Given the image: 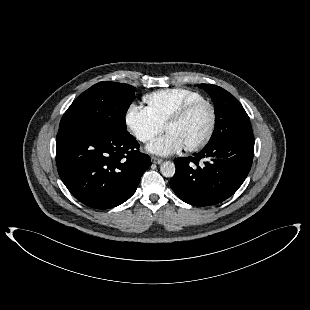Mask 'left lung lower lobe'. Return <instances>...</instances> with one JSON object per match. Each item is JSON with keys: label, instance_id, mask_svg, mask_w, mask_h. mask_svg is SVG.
I'll list each match as a JSON object with an SVG mask.
<instances>
[{"label": "left lung lower lobe", "instance_id": "left-lung-lower-lobe-1", "mask_svg": "<svg viewBox=\"0 0 310 310\" xmlns=\"http://www.w3.org/2000/svg\"><path fill=\"white\" fill-rule=\"evenodd\" d=\"M253 153L252 130L235 134L205 146L194 157L177 158L170 186L181 200L191 205L220 203L232 196L246 179ZM204 158L210 161L199 166V161Z\"/></svg>", "mask_w": 310, "mask_h": 310}]
</instances>
